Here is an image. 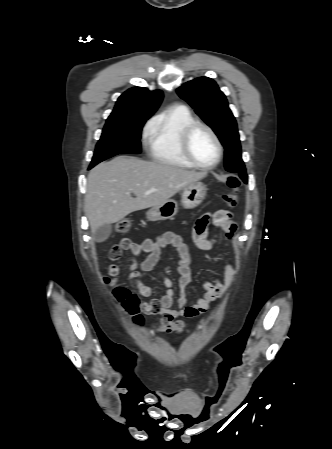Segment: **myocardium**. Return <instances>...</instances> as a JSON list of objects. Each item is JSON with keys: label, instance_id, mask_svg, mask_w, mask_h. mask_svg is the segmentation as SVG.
<instances>
[{"label": "myocardium", "instance_id": "obj_1", "mask_svg": "<svg viewBox=\"0 0 332 449\" xmlns=\"http://www.w3.org/2000/svg\"><path fill=\"white\" fill-rule=\"evenodd\" d=\"M198 128L205 129L212 139L214 140L216 147H217V157L215 161L209 165H203L199 163L193 156L190 148V139L194 131ZM180 149L183 154V156L186 158V160L193 165L196 168L202 169V170H211L215 168L221 161L223 156V146L222 143L216 134V132L210 127L208 124L200 122V121H194L188 126H186L180 136Z\"/></svg>", "mask_w": 332, "mask_h": 449}]
</instances>
